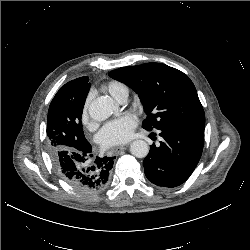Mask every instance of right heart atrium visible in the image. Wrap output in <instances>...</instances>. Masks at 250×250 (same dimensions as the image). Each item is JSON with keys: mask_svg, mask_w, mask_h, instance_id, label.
<instances>
[{"mask_svg": "<svg viewBox=\"0 0 250 250\" xmlns=\"http://www.w3.org/2000/svg\"><path fill=\"white\" fill-rule=\"evenodd\" d=\"M82 121L86 126L90 125V117H89V99H87L86 104L82 111Z\"/></svg>", "mask_w": 250, "mask_h": 250, "instance_id": "right-heart-atrium-1", "label": "right heart atrium"}]
</instances>
